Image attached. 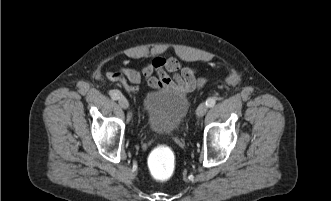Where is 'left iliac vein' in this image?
Here are the masks:
<instances>
[{
	"label": "left iliac vein",
	"instance_id": "left-iliac-vein-1",
	"mask_svg": "<svg viewBox=\"0 0 331 201\" xmlns=\"http://www.w3.org/2000/svg\"><path fill=\"white\" fill-rule=\"evenodd\" d=\"M207 110H208L207 105L205 103H202L198 106V108L196 110V115L198 117H202L206 114Z\"/></svg>",
	"mask_w": 331,
	"mask_h": 201
}]
</instances>
